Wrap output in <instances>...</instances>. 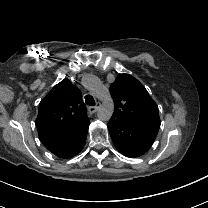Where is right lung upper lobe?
<instances>
[{"label":"right lung upper lobe","mask_w":208,"mask_h":208,"mask_svg":"<svg viewBox=\"0 0 208 208\" xmlns=\"http://www.w3.org/2000/svg\"><path fill=\"white\" fill-rule=\"evenodd\" d=\"M88 122L80 90L64 79L41 100L36 127L42 141L67 135Z\"/></svg>","instance_id":"right-lung-upper-lobe-1"}]
</instances>
